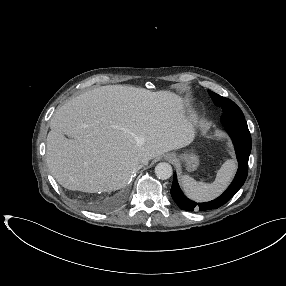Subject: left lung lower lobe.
I'll use <instances>...</instances> for the list:
<instances>
[{"instance_id":"0a47b994","label":"left lung lower lobe","mask_w":286,"mask_h":286,"mask_svg":"<svg viewBox=\"0 0 286 286\" xmlns=\"http://www.w3.org/2000/svg\"><path fill=\"white\" fill-rule=\"evenodd\" d=\"M221 122L226 131L230 135L239 167L234 180L228 189L217 199L206 203H196L189 200L179 188L176 174H174L173 184L171 187V196L175 203L183 210L187 211H206L211 209H217L220 206L228 202L236 192L244 184L248 174V160L251 152V136L244 117L227 115L221 117Z\"/></svg>"}]
</instances>
